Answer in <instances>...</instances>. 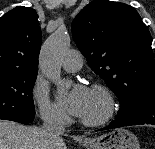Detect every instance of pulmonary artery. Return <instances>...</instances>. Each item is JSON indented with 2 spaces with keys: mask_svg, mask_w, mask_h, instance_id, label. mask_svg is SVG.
<instances>
[{
  "mask_svg": "<svg viewBox=\"0 0 155 149\" xmlns=\"http://www.w3.org/2000/svg\"><path fill=\"white\" fill-rule=\"evenodd\" d=\"M83 63L82 55L77 50H69L62 59V67L67 72L78 71Z\"/></svg>",
  "mask_w": 155,
  "mask_h": 149,
  "instance_id": "1",
  "label": "pulmonary artery"
}]
</instances>
